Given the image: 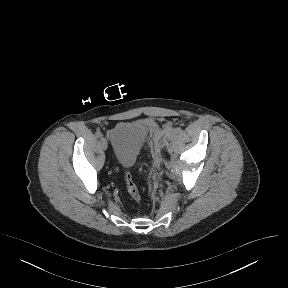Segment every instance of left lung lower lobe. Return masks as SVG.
Wrapping results in <instances>:
<instances>
[{"instance_id":"left-lung-lower-lobe-1","label":"left lung lower lobe","mask_w":288,"mask_h":288,"mask_svg":"<svg viewBox=\"0 0 288 288\" xmlns=\"http://www.w3.org/2000/svg\"><path fill=\"white\" fill-rule=\"evenodd\" d=\"M263 214V203H261L260 201H256V203L249 211V215H252L250 219L253 220L252 223L248 226V231L250 233L257 234L262 230L264 219Z\"/></svg>"}]
</instances>
